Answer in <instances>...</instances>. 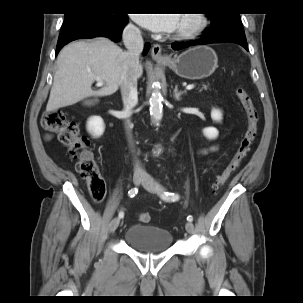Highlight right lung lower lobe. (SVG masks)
Masks as SVG:
<instances>
[{
    "instance_id": "obj_1",
    "label": "right lung lower lobe",
    "mask_w": 303,
    "mask_h": 303,
    "mask_svg": "<svg viewBox=\"0 0 303 303\" xmlns=\"http://www.w3.org/2000/svg\"><path fill=\"white\" fill-rule=\"evenodd\" d=\"M127 22L126 14H106L92 10L66 14L57 42L56 55L63 46L76 39L103 36L118 42ZM149 46L148 43L145 45L144 53L148 51Z\"/></svg>"
}]
</instances>
